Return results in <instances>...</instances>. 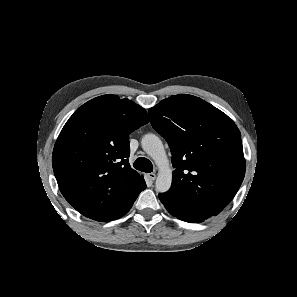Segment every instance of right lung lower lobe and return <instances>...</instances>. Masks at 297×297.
<instances>
[{
    "label": "right lung lower lobe",
    "mask_w": 297,
    "mask_h": 297,
    "mask_svg": "<svg viewBox=\"0 0 297 297\" xmlns=\"http://www.w3.org/2000/svg\"><path fill=\"white\" fill-rule=\"evenodd\" d=\"M145 188H146V183L144 181L133 192V194H131V196L123 203V205L111 217H109L105 221L116 220V219L122 217L123 215H125L132 207V205H133L134 201L136 200V198L138 197L139 193L141 191H143Z\"/></svg>",
    "instance_id": "obj_1"
}]
</instances>
